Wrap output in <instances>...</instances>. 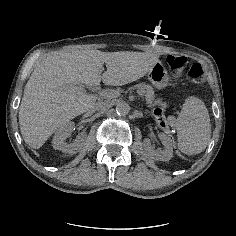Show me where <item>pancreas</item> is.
Masks as SVG:
<instances>
[{"label": "pancreas", "mask_w": 236, "mask_h": 236, "mask_svg": "<svg viewBox=\"0 0 236 236\" xmlns=\"http://www.w3.org/2000/svg\"><path fill=\"white\" fill-rule=\"evenodd\" d=\"M138 92L141 95H145L146 102L149 107L155 106L160 104L161 99H156L154 95L153 88L150 85L146 84H138L137 85ZM121 90H105L103 98L110 101L114 98H117L120 96Z\"/></svg>", "instance_id": "obj_1"}]
</instances>
